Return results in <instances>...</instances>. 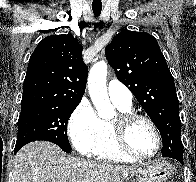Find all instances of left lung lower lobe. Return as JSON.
<instances>
[{"label":"left lung lower lobe","mask_w":196,"mask_h":182,"mask_svg":"<svg viewBox=\"0 0 196 182\" xmlns=\"http://www.w3.org/2000/svg\"><path fill=\"white\" fill-rule=\"evenodd\" d=\"M163 157H170V158L176 159L181 164H183V154H180L178 151H171L170 150V152L165 153V156H163Z\"/></svg>","instance_id":"0a47b994"}]
</instances>
